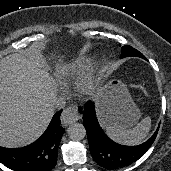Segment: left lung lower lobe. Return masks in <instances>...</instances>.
<instances>
[{"label": "left lung lower lobe", "mask_w": 171, "mask_h": 171, "mask_svg": "<svg viewBox=\"0 0 171 171\" xmlns=\"http://www.w3.org/2000/svg\"><path fill=\"white\" fill-rule=\"evenodd\" d=\"M83 125L86 128L90 152L93 159L100 166L108 170H116L130 165L143 156L154 142L158 129L145 143L138 146H123L113 142L103 132L98 124L94 104H85Z\"/></svg>", "instance_id": "1"}]
</instances>
